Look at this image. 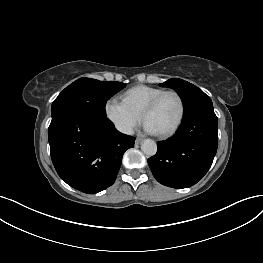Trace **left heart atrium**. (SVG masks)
<instances>
[{"instance_id":"39dd6f15","label":"left heart atrium","mask_w":263,"mask_h":263,"mask_svg":"<svg viewBox=\"0 0 263 263\" xmlns=\"http://www.w3.org/2000/svg\"><path fill=\"white\" fill-rule=\"evenodd\" d=\"M144 128H145V131L150 133V134H157L155 129L151 125H149L148 123H145Z\"/></svg>"}]
</instances>
